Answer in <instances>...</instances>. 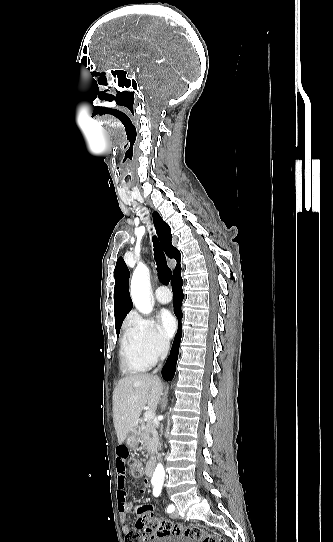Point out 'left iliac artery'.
<instances>
[{
	"label": "left iliac artery",
	"instance_id": "1",
	"mask_svg": "<svg viewBox=\"0 0 333 542\" xmlns=\"http://www.w3.org/2000/svg\"><path fill=\"white\" fill-rule=\"evenodd\" d=\"M162 485H163V483H154V484H153V486H154V488H153V495H154L155 497H158V496L160 495L161 490H162ZM174 509H175V507H174L173 505H169L168 508H167V512H168V513H171V512L174 511Z\"/></svg>",
	"mask_w": 333,
	"mask_h": 542
}]
</instances>
